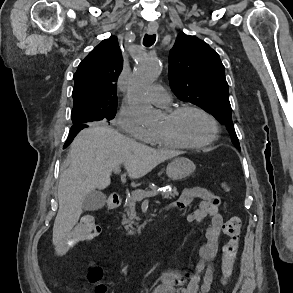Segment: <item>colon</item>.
<instances>
[{"mask_svg": "<svg viewBox=\"0 0 293 293\" xmlns=\"http://www.w3.org/2000/svg\"><path fill=\"white\" fill-rule=\"evenodd\" d=\"M240 230L241 220L236 217L227 220L223 226V232L227 237L221 258V270L224 281L230 276L237 258ZM99 234L100 227L96 218L93 215H84L67 237L56 246V250L59 253L68 252L80 243L97 238ZM87 277L95 285V293L107 292V288L102 282L103 270L101 267L94 264L91 265L88 269Z\"/></svg>", "mask_w": 293, "mask_h": 293, "instance_id": "1", "label": "colon"}]
</instances>
